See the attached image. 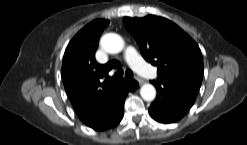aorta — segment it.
Wrapping results in <instances>:
<instances>
[{
    "label": "aorta",
    "instance_id": "1",
    "mask_svg": "<svg viewBox=\"0 0 247 145\" xmlns=\"http://www.w3.org/2000/svg\"><path fill=\"white\" fill-rule=\"evenodd\" d=\"M102 48L111 54L119 53L124 49V40L115 33L105 34L101 39ZM140 95L145 101H153L156 97V89L152 84H144L140 89Z\"/></svg>",
    "mask_w": 247,
    "mask_h": 145
}]
</instances>
